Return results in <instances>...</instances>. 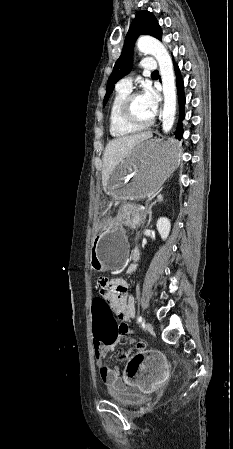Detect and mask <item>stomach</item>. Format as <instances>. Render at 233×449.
<instances>
[{"instance_id": "obj_1", "label": "stomach", "mask_w": 233, "mask_h": 449, "mask_svg": "<svg viewBox=\"0 0 233 449\" xmlns=\"http://www.w3.org/2000/svg\"><path fill=\"white\" fill-rule=\"evenodd\" d=\"M181 149L174 140L149 139L139 143L111 173L108 194L114 199H143L152 196L179 165ZM100 221L109 214L100 212ZM100 233L92 244L91 268L97 272L120 269L128 254V241L120 224L96 223Z\"/></svg>"}]
</instances>
